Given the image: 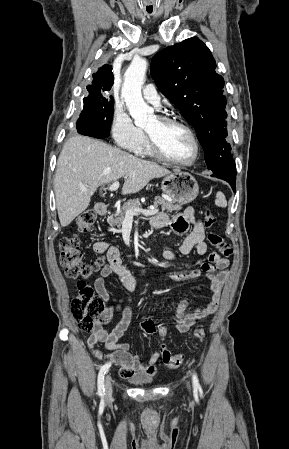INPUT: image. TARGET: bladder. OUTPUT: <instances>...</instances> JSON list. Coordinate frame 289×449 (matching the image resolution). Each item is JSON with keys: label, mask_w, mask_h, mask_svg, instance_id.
Returning a JSON list of instances; mask_svg holds the SVG:
<instances>
[{"label": "bladder", "mask_w": 289, "mask_h": 449, "mask_svg": "<svg viewBox=\"0 0 289 449\" xmlns=\"http://www.w3.org/2000/svg\"><path fill=\"white\" fill-rule=\"evenodd\" d=\"M130 381L135 385H147L153 382V378L150 375L138 374L132 377Z\"/></svg>", "instance_id": "1"}]
</instances>
